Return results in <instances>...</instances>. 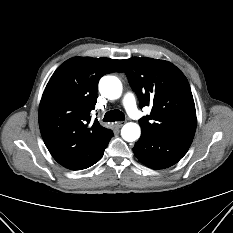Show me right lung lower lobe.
Wrapping results in <instances>:
<instances>
[{
    "instance_id": "obj_1",
    "label": "right lung lower lobe",
    "mask_w": 233,
    "mask_h": 233,
    "mask_svg": "<svg viewBox=\"0 0 233 233\" xmlns=\"http://www.w3.org/2000/svg\"><path fill=\"white\" fill-rule=\"evenodd\" d=\"M112 136H113V132L111 131V132L109 133L108 137H107V138L105 139V141H104L103 147H102V149H101V152H100L99 156L97 157L96 162L99 161V160L101 159V157L103 156L104 150H105V148L107 147L108 142H109V140L112 138ZM96 162H95V163H96ZM95 163H94V164H95Z\"/></svg>"
}]
</instances>
